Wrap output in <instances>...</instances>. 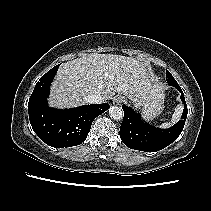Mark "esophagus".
<instances>
[{
    "label": "esophagus",
    "instance_id": "34e87169",
    "mask_svg": "<svg viewBox=\"0 0 211 211\" xmlns=\"http://www.w3.org/2000/svg\"><path fill=\"white\" fill-rule=\"evenodd\" d=\"M124 101H125V100H124V97H122V96H116V97H114V99H113V103H114V104H117V105L122 104Z\"/></svg>",
    "mask_w": 211,
    "mask_h": 211
}]
</instances>
